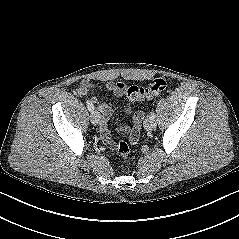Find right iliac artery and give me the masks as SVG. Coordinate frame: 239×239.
I'll list each match as a JSON object with an SVG mask.
<instances>
[{"label":"right iliac artery","instance_id":"82829eb1","mask_svg":"<svg viewBox=\"0 0 239 239\" xmlns=\"http://www.w3.org/2000/svg\"><path fill=\"white\" fill-rule=\"evenodd\" d=\"M86 103H87V108H88V110H89L90 112H92V111L94 110L93 104H92L91 101H89V100H87Z\"/></svg>","mask_w":239,"mask_h":239}]
</instances>
